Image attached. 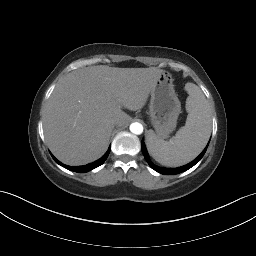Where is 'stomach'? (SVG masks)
Segmentation results:
<instances>
[{"label":"stomach","mask_w":256,"mask_h":256,"mask_svg":"<svg viewBox=\"0 0 256 256\" xmlns=\"http://www.w3.org/2000/svg\"><path fill=\"white\" fill-rule=\"evenodd\" d=\"M181 103L174 90L170 73L163 72L151 91L149 106L150 122L159 138L167 137L177 125Z\"/></svg>","instance_id":"obj_1"}]
</instances>
